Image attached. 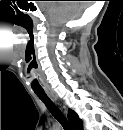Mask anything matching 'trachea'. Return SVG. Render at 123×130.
I'll return each instance as SVG.
<instances>
[{
  "label": "trachea",
  "instance_id": "trachea-1",
  "mask_svg": "<svg viewBox=\"0 0 123 130\" xmlns=\"http://www.w3.org/2000/svg\"><path fill=\"white\" fill-rule=\"evenodd\" d=\"M35 94L46 105L48 110L51 112L54 118L58 120V122L62 125L64 130H72L66 117L63 115L60 109L50 100V98L47 96L45 92L35 91Z\"/></svg>",
  "mask_w": 123,
  "mask_h": 130
}]
</instances>
